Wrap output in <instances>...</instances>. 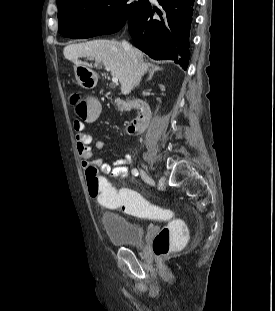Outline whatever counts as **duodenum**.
I'll return each instance as SVG.
<instances>
[{"instance_id": "obj_1", "label": "duodenum", "mask_w": 275, "mask_h": 311, "mask_svg": "<svg viewBox=\"0 0 275 311\" xmlns=\"http://www.w3.org/2000/svg\"><path fill=\"white\" fill-rule=\"evenodd\" d=\"M119 106L125 109H136L138 112L137 116L126 125L127 132L132 135L143 132L150 120V106L140 100H121Z\"/></svg>"}]
</instances>
